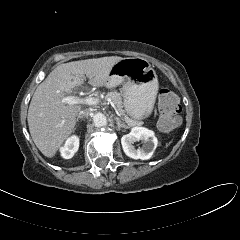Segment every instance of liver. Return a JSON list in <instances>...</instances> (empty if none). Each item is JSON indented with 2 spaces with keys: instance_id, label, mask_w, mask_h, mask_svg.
Segmentation results:
<instances>
[{
  "instance_id": "1",
  "label": "liver",
  "mask_w": 240,
  "mask_h": 240,
  "mask_svg": "<svg viewBox=\"0 0 240 240\" xmlns=\"http://www.w3.org/2000/svg\"><path fill=\"white\" fill-rule=\"evenodd\" d=\"M122 59L111 56L61 64L37 87L27 121L31 137L43 155L51 158L56 154L74 131L76 116L83 109L62 102V98L83 84L84 75L90 85L106 86L112 67Z\"/></svg>"
}]
</instances>
